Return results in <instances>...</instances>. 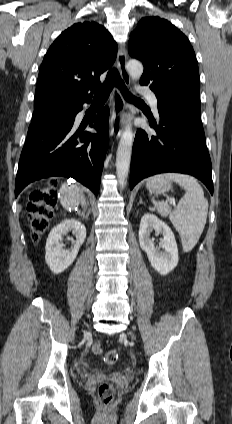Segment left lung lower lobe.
I'll use <instances>...</instances> for the list:
<instances>
[{
	"label": "left lung lower lobe",
	"mask_w": 232,
	"mask_h": 424,
	"mask_svg": "<svg viewBox=\"0 0 232 424\" xmlns=\"http://www.w3.org/2000/svg\"><path fill=\"white\" fill-rule=\"evenodd\" d=\"M158 99L157 135L139 129L135 135L130 188L154 174L178 172L201 180L213 194L211 160L201 123L200 99L175 96Z\"/></svg>",
	"instance_id": "1"
}]
</instances>
